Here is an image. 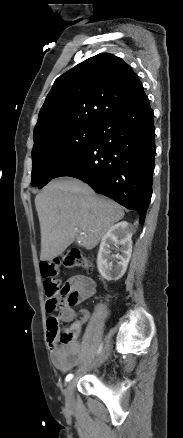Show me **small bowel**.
Here are the masks:
<instances>
[{
  "label": "small bowel",
  "mask_w": 183,
  "mask_h": 438,
  "mask_svg": "<svg viewBox=\"0 0 183 438\" xmlns=\"http://www.w3.org/2000/svg\"><path fill=\"white\" fill-rule=\"evenodd\" d=\"M66 285L78 294V302L76 304L92 297L96 291L95 281L85 275L71 277L66 282ZM78 314L79 319L73 321L76 312L72 304L64 302L60 307L58 320L62 322L73 321L72 327H74L78 333L88 320L89 312L85 309H81ZM47 340L51 351L52 362L57 369L62 372H67L78 364L82 356V345L76 338L66 343L62 342L57 335L48 332Z\"/></svg>",
  "instance_id": "c3829d8e"
}]
</instances>
